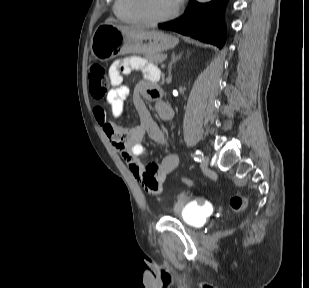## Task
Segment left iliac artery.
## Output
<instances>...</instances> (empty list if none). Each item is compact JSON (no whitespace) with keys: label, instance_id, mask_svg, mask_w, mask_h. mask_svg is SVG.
Instances as JSON below:
<instances>
[{"label":"left iliac artery","instance_id":"1","mask_svg":"<svg viewBox=\"0 0 309 288\" xmlns=\"http://www.w3.org/2000/svg\"><path fill=\"white\" fill-rule=\"evenodd\" d=\"M193 158L195 161L197 162H201L202 161V158H203V153L202 151L200 150H196L193 154Z\"/></svg>","mask_w":309,"mask_h":288}]
</instances>
